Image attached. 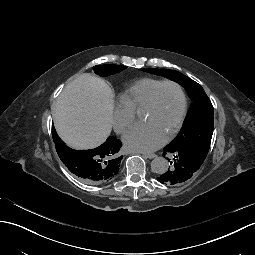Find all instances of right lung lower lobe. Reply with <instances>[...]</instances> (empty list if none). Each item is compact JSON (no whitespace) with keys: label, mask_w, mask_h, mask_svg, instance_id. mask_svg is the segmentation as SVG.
I'll use <instances>...</instances> for the list:
<instances>
[{"label":"right lung lower lobe","mask_w":255,"mask_h":255,"mask_svg":"<svg viewBox=\"0 0 255 255\" xmlns=\"http://www.w3.org/2000/svg\"><path fill=\"white\" fill-rule=\"evenodd\" d=\"M80 161L83 162V174L86 177H96L100 174V155L96 152L89 154L87 151H82L79 154Z\"/></svg>","instance_id":"obj_1"}]
</instances>
